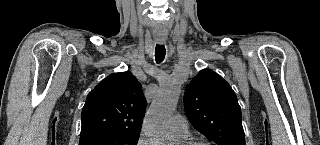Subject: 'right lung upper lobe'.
<instances>
[{
    "label": "right lung upper lobe",
    "mask_w": 320,
    "mask_h": 145,
    "mask_svg": "<svg viewBox=\"0 0 320 145\" xmlns=\"http://www.w3.org/2000/svg\"><path fill=\"white\" fill-rule=\"evenodd\" d=\"M146 100L129 71L111 74L88 95L80 138L98 133H140Z\"/></svg>",
    "instance_id": "obj_1"
}]
</instances>
